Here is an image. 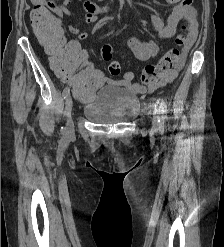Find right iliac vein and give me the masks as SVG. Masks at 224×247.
Listing matches in <instances>:
<instances>
[{
  "mask_svg": "<svg viewBox=\"0 0 224 247\" xmlns=\"http://www.w3.org/2000/svg\"><path fill=\"white\" fill-rule=\"evenodd\" d=\"M72 105H73L72 98H71V96H68L66 98V101H65V114L67 117V132L68 133H71L73 131V127H74L73 121L71 118Z\"/></svg>",
  "mask_w": 224,
  "mask_h": 247,
  "instance_id": "right-iliac-vein-1",
  "label": "right iliac vein"
}]
</instances>
